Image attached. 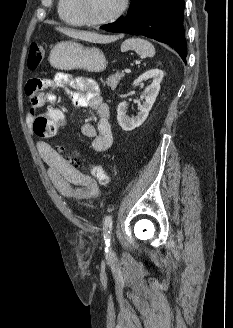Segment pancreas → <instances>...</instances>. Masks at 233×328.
I'll return each instance as SVG.
<instances>
[{"instance_id": "cf45deb5", "label": "pancreas", "mask_w": 233, "mask_h": 328, "mask_svg": "<svg viewBox=\"0 0 233 328\" xmlns=\"http://www.w3.org/2000/svg\"><path fill=\"white\" fill-rule=\"evenodd\" d=\"M124 77V74L123 73H119L117 72L116 74L114 75H111L107 78V81H106V84L111 87L112 90H114L119 81Z\"/></svg>"}]
</instances>
